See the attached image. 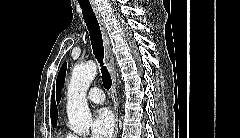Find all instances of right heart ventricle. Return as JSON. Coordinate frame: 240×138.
<instances>
[{"instance_id":"obj_1","label":"right heart ventricle","mask_w":240,"mask_h":138,"mask_svg":"<svg viewBox=\"0 0 240 138\" xmlns=\"http://www.w3.org/2000/svg\"><path fill=\"white\" fill-rule=\"evenodd\" d=\"M59 138H69V137L66 136V135H64V134H61V135L59 136Z\"/></svg>"}]
</instances>
